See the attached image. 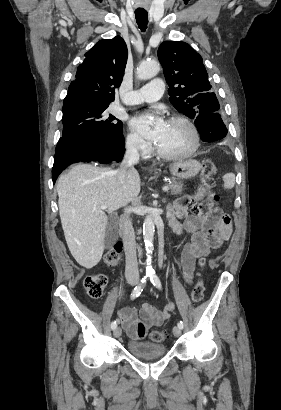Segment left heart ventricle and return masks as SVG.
I'll list each match as a JSON object with an SVG mask.
<instances>
[{"mask_svg":"<svg viewBox=\"0 0 281 410\" xmlns=\"http://www.w3.org/2000/svg\"><path fill=\"white\" fill-rule=\"evenodd\" d=\"M168 153H181L191 148L193 135L188 126L181 122L168 121L161 138L156 142Z\"/></svg>","mask_w":281,"mask_h":410,"instance_id":"1","label":"left heart ventricle"}]
</instances>
